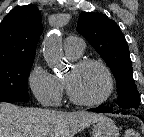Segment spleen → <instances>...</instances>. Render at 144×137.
Wrapping results in <instances>:
<instances>
[{
  "label": "spleen",
  "mask_w": 144,
  "mask_h": 137,
  "mask_svg": "<svg viewBox=\"0 0 144 137\" xmlns=\"http://www.w3.org/2000/svg\"><path fill=\"white\" fill-rule=\"evenodd\" d=\"M132 134H133V137H139V135L136 133H132Z\"/></svg>",
  "instance_id": "spleen-1"
}]
</instances>
